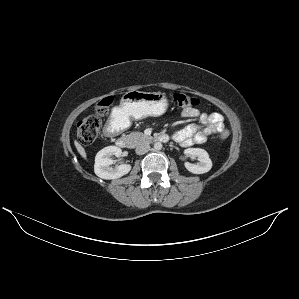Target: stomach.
I'll list each match as a JSON object with an SVG mask.
<instances>
[{
  "label": "stomach",
  "mask_w": 299,
  "mask_h": 299,
  "mask_svg": "<svg viewBox=\"0 0 299 299\" xmlns=\"http://www.w3.org/2000/svg\"><path fill=\"white\" fill-rule=\"evenodd\" d=\"M168 106L167 98L161 92H126L120 102L121 113L128 119H142L147 116H160Z\"/></svg>",
  "instance_id": "stomach-1"
}]
</instances>
